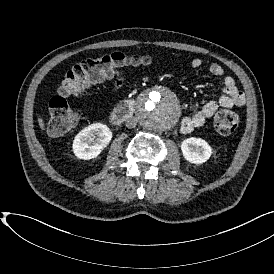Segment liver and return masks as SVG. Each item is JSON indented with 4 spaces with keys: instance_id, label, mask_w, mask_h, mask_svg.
I'll list each match as a JSON object with an SVG mask.
<instances>
[{
    "instance_id": "liver-1",
    "label": "liver",
    "mask_w": 274,
    "mask_h": 274,
    "mask_svg": "<svg viewBox=\"0 0 274 274\" xmlns=\"http://www.w3.org/2000/svg\"><path fill=\"white\" fill-rule=\"evenodd\" d=\"M38 124L41 131H46V124L44 122V119L40 115L38 116Z\"/></svg>"
}]
</instances>
